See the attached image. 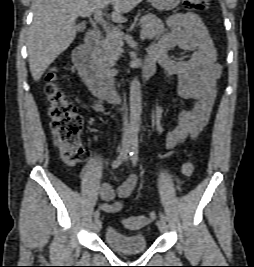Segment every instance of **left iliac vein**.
<instances>
[{"instance_id":"obj_1","label":"left iliac vein","mask_w":254,"mask_h":267,"mask_svg":"<svg viewBox=\"0 0 254 267\" xmlns=\"http://www.w3.org/2000/svg\"><path fill=\"white\" fill-rule=\"evenodd\" d=\"M127 158H128V156H125L126 160H127ZM157 226L162 233H165L168 230V226H167L166 222L162 219L157 221Z\"/></svg>"}]
</instances>
